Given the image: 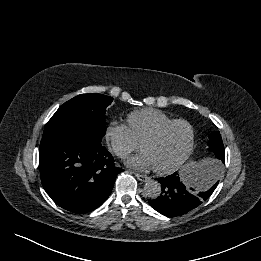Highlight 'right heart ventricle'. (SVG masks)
Returning <instances> with one entry per match:
<instances>
[{
	"label": "right heart ventricle",
	"instance_id": "obj_1",
	"mask_svg": "<svg viewBox=\"0 0 261 261\" xmlns=\"http://www.w3.org/2000/svg\"><path fill=\"white\" fill-rule=\"evenodd\" d=\"M170 120H172L171 116L153 108L136 110L126 117L127 127L139 143L160 125Z\"/></svg>",
	"mask_w": 261,
	"mask_h": 261
}]
</instances>
